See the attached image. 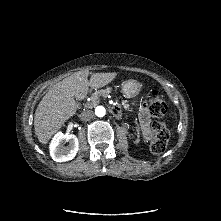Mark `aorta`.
I'll return each mask as SVG.
<instances>
[{
  "instance_id": "obj_1",
  "label": "aorta",
  "mask_w": 221,
  "mask_h": 221,
  "mask_svg": "<svg viewBox=\"0 0 221 221\" xmlns=\"http://www.w3.org/2000/svg\"><path fill=\"white\" fill-rule=\"evenodd\" d=\"M105 113H106V110H105V108L103 106H97L95 108L96 116L103 117L105 115Z\"/></svg>"
}]
</instances>
